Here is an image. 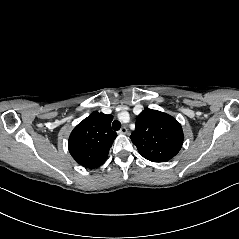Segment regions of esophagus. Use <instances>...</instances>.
<instances>
[{"label": "esophagus", "instance_id": "1", "mask_svg": "<svg viewBox=\"0 0 239 239\" xmlns=\"http://www.w3.org/2000/svg\"><path fill=\"white\" fill-rule=\"evenodd\" d=\"M120 134H127L128 133V129L126 126H123L120 130H119Z\"/></svg>", "mask_w": 239, "mask_h": 239}]
</instances>
